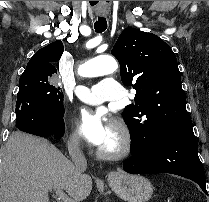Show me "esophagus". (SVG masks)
I'll use <instances>...</instances> for the list:
<instances>
[{"mask_svg":"<svg viewBox=\"0 0 209 202\" xmlns=\"http://www.w3.org/2000/svg\"><path fill=\"white\" fill-rule=\"evenodd\" d=\"M101 15L104 16L105 14H101ZM107 175L109 178H114L117 175V173L115 171H109Z\"/></svg>","mask_w":209,"mask_h":202,"instance_id":"esophagus-1","label":"esophagus"}]
</instances>
